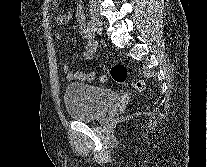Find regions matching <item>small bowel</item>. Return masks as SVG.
I'll return each instance as SVG.
<instances>
[{"mask_svg":"<svg viewBox=\"0 0 207 167\" xmlns=\"http://www.w3.org/2000/svg\"><path fill=\"white\" fill-rule=\"evenodd\" d=\"M53 4L55 6H58V0H53ZM72 20V14L70 12H61L58 13L55 17V22L58 25H66ZM77 23L79 28V33L82 39H85L88 41L87 50L83 54V59L86 61H89L93 58L94 54L97 51V44L94 42L92 37H90L87 28L85 26L84 22V14H83V7L80 5L77 10ZM56 39L58 41L62 40V34L56 33L55 35ZM63 72L65 74V77L67 81H84L86 79V74L84 72H75L72 73L69 68L68 63L63 64Z\"/></svg>","mask_w":207,"mask_h":167,"instance_id":"small-bowel-1","label":"small bowel"}]
</instances>
